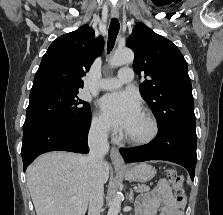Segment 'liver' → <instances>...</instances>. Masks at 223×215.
<instances>
[{"label":"liver","instance_id":"6515ba94","mask_svg":"<svg viewBox=\"0 0 223 215\" xmlns=\"http://www.w3.org/2000/svg\"><path fill=\"white\" fill-rule=\"evenodd\" d=\"M27 187L37 215H84L89 193L88 159L80 153L48 151L37 157L26 171ZM103 179L109 163H103ZM77 197V199H72Z\"/></svg>","mask_w":223,"mask_h":215}]
</instances>
